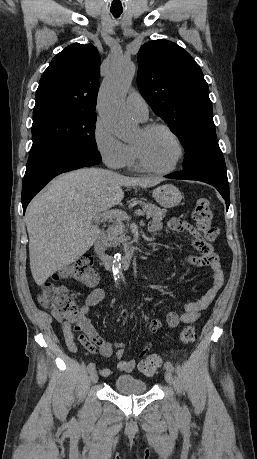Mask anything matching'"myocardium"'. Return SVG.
Listing matches in <instances>:
<instances>
[{
  "instance_id": "f54148a6",
  "label": "myocardium",
  "mask_w": 257,
  "mask_h": 459,
  "mask_svg": "<svg viewBox=\"0 0 257 459\" xmlns=\"http://www.w3.org/2000/svg\"><path fill=\"white\" fill-rule=\"evenodd\" d=\"M164 130L165 132H167L172 138L173 140L175 141L176 145H177V148H178V155L175 159V161L173 162V164L167 168H163V169H160V168H156L154 166H152L146 159L141 147L137 144H133V147H134V150H135V153H136V157H137V160L140 164V166L148 171V172H151V173H155V174H161V175H164V174H169L171 172H173L178 166L179 164L182 162L183 158H184V155H185V148H184V145L180 139V137L166 124H163V123H158V122H152V123H148L146 125H144L142 127V131L146 134L152 132V131H155V130Z\"/></svg>"
}]
</instances>
